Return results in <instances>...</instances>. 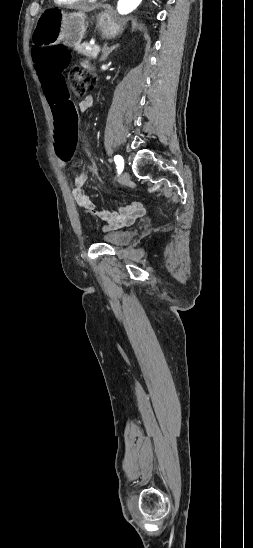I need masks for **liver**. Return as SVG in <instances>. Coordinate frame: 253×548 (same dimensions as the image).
Returning <instances> with one entry per match:
<instances>
[{
	"label": "liver",
	"mask_w": 253,
	"mask_h": 548,
	"mask_svg": "<svg viewBox=\"0 0 253 548\" xmlns=\"http://www.w3.org/2000/svg\"><path fill=\"white\" fill-rule=\"evenodd\" d=\"M94 8L93 7H80L79 10L81 12H90L92 11Z\"/></svg>",
	"instance_id": "1"
}]
</instances>
